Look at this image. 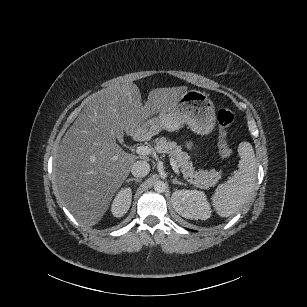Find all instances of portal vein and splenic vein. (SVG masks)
I'll list each match as a JSON object with an SVG mask.
<instances>
[{
	"instance_id": "18ae733b",
	"label": "portal vein and splenic vein",
	"mask_w": 307,
	"mask_h": 307,
	"mask_svg": "<svg viewBox=\"0 0 307 307\" xmlns=\"http://www.w3.org/2000/svg\"><path fill=\"white\" fill-rule=\"evenodd\" d=\"M137 153L140 154V155H143V156H147V155H151L153 153V149L150 146L142 145V146H139L137 148ZM169 162H170V165L172 166V168L175 171H177L178 166H177L176 160L174 159L173 156H169Z\"/></svg>"
}]
</instances>
